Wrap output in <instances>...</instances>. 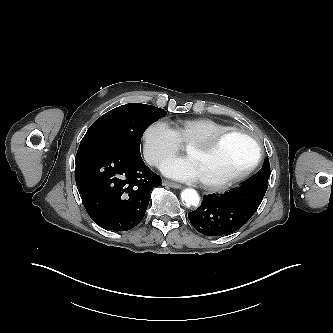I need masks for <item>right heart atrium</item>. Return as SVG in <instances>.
<instances>
[{"label":"right heart atrium","instance_id":"obj_1","mask_svg":"<svg viewBox=\"0 0 333 333\" xmlns=\"http://www.w3.org/2000/svg\"><path fill=\"white\" fill-rule=\"evenodd\" d=\"M143 149L146 160L160 166L181 149L174 130L164 121L158 120L147 126L143 133Z\"/></svg>","mask_w":333,"mask_h":333}]
</instances>
